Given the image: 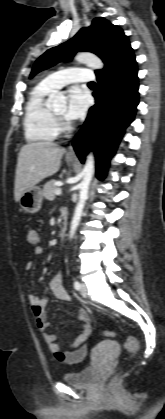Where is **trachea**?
Returning a JSON list of instances; mask_svg holds the SVG:
<instances>
[{"label": "trachea", "mask_w": 165, "mask_h": 419, "mask_svg": "<svg viewBox=\"0 0 165 419\" xmlns=\"http://www.w3.org/2000/svg\"><path fill=\"white\" fill-rule=\"evenodd\" d=\"M89 85H95V82H90Z\"/></svg>", "instance_id": "obj_1"}]
</instances>
